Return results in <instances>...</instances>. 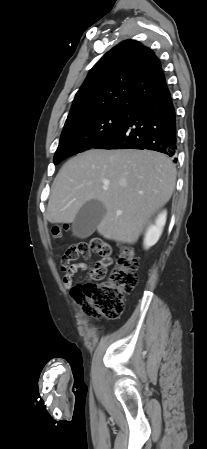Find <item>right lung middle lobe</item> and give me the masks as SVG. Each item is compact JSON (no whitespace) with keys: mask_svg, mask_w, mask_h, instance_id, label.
Wrapping results in <instances>:
<instances>
[{"mask_svg":"<svg viewBox=\"0 0 207 449\" xmlns=\"http://www.w3.org/2000/svg\"><path fill=\"white\" fill-rule=\"evenodd\" d=\"M134 111L133 109H108L67 119L54 155V164L93 148L122 127Z\"/></svg>","mask_w":207,"mask_h":449,"instance_id":"1","label":"right lung middle lobe"}]
</instances>
